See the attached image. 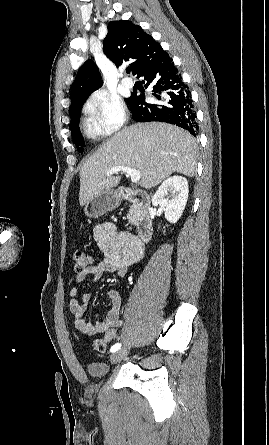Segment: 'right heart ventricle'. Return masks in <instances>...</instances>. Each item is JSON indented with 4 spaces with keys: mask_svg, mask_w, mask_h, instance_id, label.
Wrapping results in <instances>:
<instances>
[{
    "mask_svg": "<svg viewBox=\"0 0 269 445\" xmlns=\"http://www.w3.org/2000/svg\"><path fill=\"white\" fill-rule=\"evenodd\" d=\"M83 129L86 136L92 139H95L103 134V132L90 117L83 120Z\"/></svg>",
    "mask_w": 269,
    "mask_h": 445,
    "instance_id": "e07e8e85",
    "label": "right heart ventricle"
}]
</instances>
